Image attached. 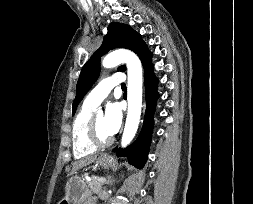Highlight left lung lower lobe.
I'll return each mask as SVG.
<instances>
[{"label": "left lung lower lobe", "instance_id": "obj_1", "mask_svg": "<svg viewBox=\"0 0 253 204\" xmlns=\"http://www.w3.org/2000/svg\"><path fill=\"white\" fill-rule=\"evenodd\" d=\"M152 53L148 50L144 55L142 61L145 72V92L147 109L145 113L144 125L137 140L128 148L117 150V147L113 150L117 151V156H125L128 158V162L135 165L138 168H142L145 164L148 156V150L151 142L152 127H153V113L155 110V103L159 97L157 92L158 79L154 75L152 65Z\"/></svg>", "mask_w": 253, "mask_h": 204}]
</instances>
